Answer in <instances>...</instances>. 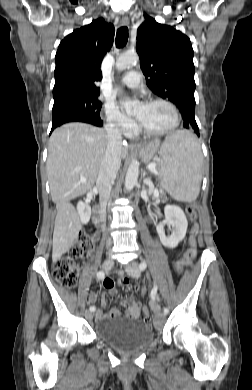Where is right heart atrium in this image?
I'll return each instance as SVG.
<instances>
[{"instance_id":"d8ad5b80","label":"right heart atrium","mask_w":252,"mask_h":390,"mask_svg":"<svg viewBox=\"0 0 252 390\" xmlns=\"http://www.w3.org/2000/svg\"><path fill=\"white\" fill-rule=\"evenodd\" d=\"M104 114L108 125L120 134L130 136L135 131V122L126 116L113 102L104 106Z\"/></svg>"}]
</instances>
